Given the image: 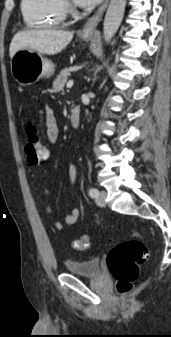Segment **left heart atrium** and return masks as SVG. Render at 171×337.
<instances>
[{
	"label": "left heart atrium",
	"mask_w": 171,
	"mask_h": 337,
	"mask_svg": "<svg viewBox=\"0 0 171 337\" xmlns=\"http://www.w3.org/2000/svg\"><path fill=\"white\" fill-rule=\"evenodd\" d=\"M75 3L82 7H90L98 4L101 0H74Z\"/></svg>",
	"instance_id": "obj_1"
}]
</instances>
